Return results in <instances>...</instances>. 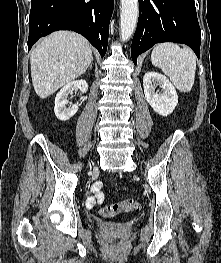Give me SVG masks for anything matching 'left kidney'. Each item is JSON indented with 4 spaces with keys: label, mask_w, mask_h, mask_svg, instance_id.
I'll return each instance as SVG.
<instances>
[{
    "label": "left kidney",
    "mask_w": 221,
    "mask_h": 263,
    "mask_svg": "<svg viewBox=\"0 0 221 263\" xmlns=\"http://www.w3.org/2000/svg\"><path fill=\"white\" fill-rule=\"evenodd\" d=\"M160 86L161 92L156 91ZM144 94L153 110L162 116H168L178 104V95L175 87L163 75L150 71L143 78Z\"/></svg>",
    "instance_id": "5707ae66"
}]
</instances>
